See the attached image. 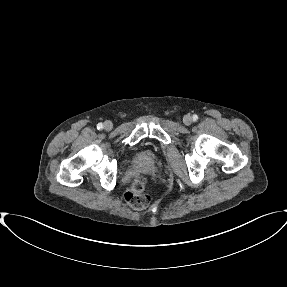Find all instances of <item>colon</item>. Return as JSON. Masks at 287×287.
Segmentation results:
<instances>
[{
	"mask_svg": "<svg viewBox=\"0 0 287 287\" xmlns=\"http://www.w3.org/2000/svg\"><path fill=\"white\" fill-rule=\"evenodd\" d=\"M146 184V178L138 176L126 191L125 200L133 209H145L150 204V197L145 192Z\"/></svg>",
	"mask_w": 287,
	"mask_h": 287,
	"instance_id": "colon-1",
	"label": "colon"
}]
</instances>
